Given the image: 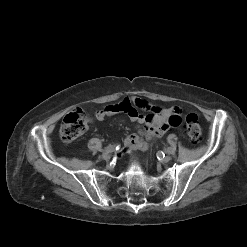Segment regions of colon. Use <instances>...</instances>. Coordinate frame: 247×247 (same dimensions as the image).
<instances>
[{
  "label": "colon",
  "instance_id": "colon-1",
  "mask_svg": "<svg viewBox=\"0 0 247 247\" xmlns=\"http://www.w3.org/2000/svg\"><path fill=\"white\" fill-rule=\"evenodd\" d=\"M88 125V117L82 109L68 113L60 126V137L64 142H71L83 134ZM187 135L193 144L200 142L202 128L197 114L190 113L185 118Z\"/></svg>",
  "mask_w": 247,
  "mask_h": 247
}]
</instances>
